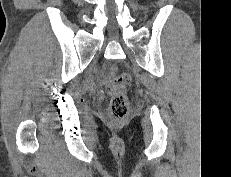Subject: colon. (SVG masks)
Segmentation results:
<instances>
[{
  "label": "colon",
  "mask_w": 231,
  "mask_h": 177,
  "mask_svg": "<svg viewBox=\"0 0 231 177\" xmlns=\"http://www.w3.org/2000/svg\"><path fill=\"white\" fill-rule=\"evenodd\" d=\"M132 77L128 72H123L112 77L107 85L110 95L109 112L114 121L124 119L129 112V99L127 86L131 83Z\"/></svg>",
  "instance_id": "5ec220e1"
}]
</instances>
